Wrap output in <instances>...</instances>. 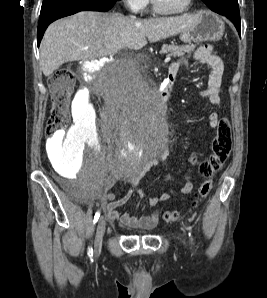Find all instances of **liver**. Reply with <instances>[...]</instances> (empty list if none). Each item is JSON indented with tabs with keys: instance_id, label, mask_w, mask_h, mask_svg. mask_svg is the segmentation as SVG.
Instances as JSON below:
<instances>
[{
	"instance_id": "liver-1",
	"label": "liver",
	"mask_w": 267,
	"mask_h": 298,
	"mask_svg": "<svg viewBox=\"0 0 267 298\" xmlns=\"http://www.w3.org/2000/svg\"><path fill=\"white\" fill-rule=\"evenodd\" d=\"M197 15L136 19L119 13L82 11L53 22L40 46L41 68L50 76L62 64L112 56L122 49H141L149 42L192 28Z\"/></svg>"
}]
</instances>
